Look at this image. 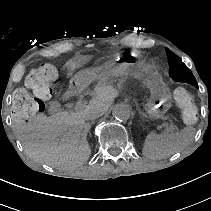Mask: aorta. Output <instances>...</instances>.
Masks as SVG:
<instances>
[{
	"mask_svg": "<svg viewBox=\"0 0 211 211\" xmlns=\"http://www.w3.org/2000/svg\"><path fill=\"white\" fill-rule=\"evenodd\" d=\"M112 115L118 121H127L131 116L130 107L125 103L116 104L113 107Z\"/></svg>",
	"mask_w": 211,
	"mask_h": 211,
	"instance_id": "1",
	"label": "aorta"
}]
</instances>
